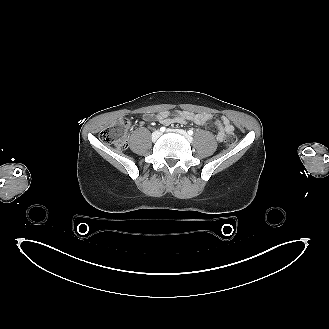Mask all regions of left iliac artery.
Instances as JSON below:
<instances>
[{
	"label": "left iliac artery",
	"instance_id": "1",
	"mask_svg": "<svg viewBox=\"0 0 329 329\" xmlns=\"http://www.w3.org/2000/svg\"><path fill=\"white\" fill-rule=\"evenodd\" d=\"M188 134H189V135H193V131H192V130H189V131H188Z\"/></svg>",
	"mask_w": 329,
	"mask_h": 329
}]
</instances>
